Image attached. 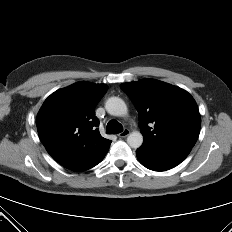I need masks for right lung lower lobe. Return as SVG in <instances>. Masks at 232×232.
I'll return each instance as SVG.
<instances>
[{
	"label": "right lung lower lobe",
	"instance_id": "1",
	"mask_svg": "<svg viewBox=\"0 0 232 232\" xmlns=\"http://www.w3.org/2000/svg\"><path fill=\"white\" fill-rule=\"evenodd\" d=\"M104 157L97 159V160H93V161H88V162H82V163H77V164H72L70 166H67L65 168L73 170V171H84V170H88L92 167H94L95 165H97L98 163H100L102 161Z\"/></svg>",
	"mask_w": 232,
	"mask_h": 232
}]
</instances>
